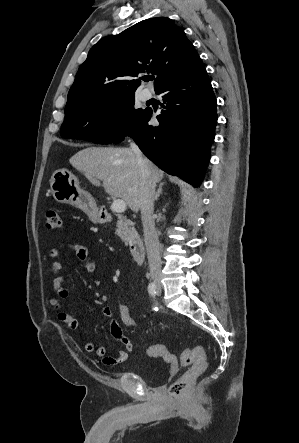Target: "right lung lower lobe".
<instances>
[{
    "mask_svg": "<svg viewBox=\"0 0 299 443\" xmlns=\"http://www.w3.org/2000/svg\"><path fill=\"white\" fill-rule=\"evenodd\" d=\"M155 92L165 104L156 117L159 125H148L152 110L145 109L111 143L130 136L162 170L197 187L209 160L217 122L216 98L206 69L175 78Z\"/></svg>",
    "mask_w": 299,
    "mask_h": 443,
    "instance_id": "obj_1",
    "label": "right lung lower lobe"
}]
</instances>
